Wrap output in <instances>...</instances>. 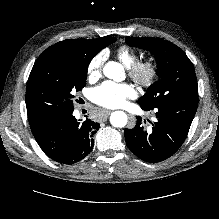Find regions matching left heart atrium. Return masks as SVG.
I'll return each instance as SVG.
<instances>
[{
  "label": "left heart atrium",
  "instance_id": "obj_1",
  "mask_svg": "<svg viewBox=\"0 0 219 219\" xmlns=\"http://www.w3.org/2000/svg\"><path fill=\"white\" fill-rule=\"evenodd\" d=\"M136 92L129 84L104 82L93 91L96 104L104 108H118L126 104L127 99L135 97Z\"/></svg>",
  "mask_w": 219,
  "mask_h": 219
}]
</instances>
